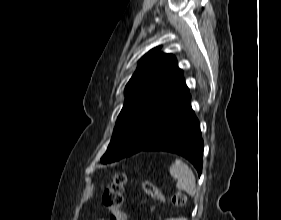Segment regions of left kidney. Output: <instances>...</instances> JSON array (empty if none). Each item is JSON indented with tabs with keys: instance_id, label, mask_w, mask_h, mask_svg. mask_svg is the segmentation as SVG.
I'll use <instances>...</instances> for the list:
<instances>
[{
	"instance_id": "left-kidney-1",
	"label": "left kidney",
	"mask_w": 281,
	"mask_h": 220,
	"mask_svg": "<svg viewBox=\"0 0 281 220\" xmlns=\"http://www.w3.org/2000/svg\"><path fill=\"white\" fill-rule=\"evenodd\" d=\"M166 220H187L186 218H170V219H166Z\"/></svg>"
}]
</instances>
